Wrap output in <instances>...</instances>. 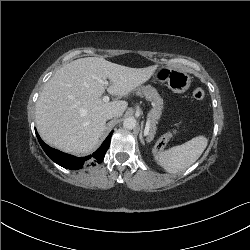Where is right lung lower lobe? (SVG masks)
I'll use <instances>...</instances> for the list:
<instances>
[{
    "instance_id": "1",
    "label": "right lung lower lobe",
    "mask_w": 250,
    "mask_h": 250,
    "mask_svg": "<svg viewBox=\"0 0 250 250\" xmlns=\"http://www.w3.org/2000/svg\"><path fill=\"white\" fill-rule=\"evenodd\" d=\"M36 131V129H35ZM37 133V131H36ZM113 134V131L108 135V137L105 139V141L102 143V145L100 146V148L94 152L92 155L87 156V157H75L66 153H63L59 150L53 149L51 147H49L47 144H45L42 139L40 138V136L37 134V138L38 141L41 145V147L43 148V150L45 151V153L49 156V158L51 160H53L55 163H57L58 165L66 168V169H72V170H76V169H80L83 167L84 162L86 160H89L91 157V164L94 166L96 165V163H101L104 159L105 153L108 150L109 146H110V139L111 136Z\"/></svg>"
}]
</instances>
